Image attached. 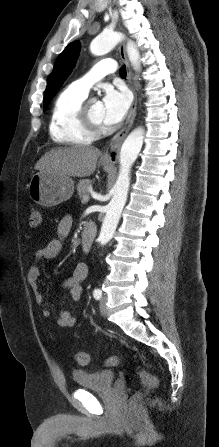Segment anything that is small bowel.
Listing matches in <instances>:
<instances>
[{
  "instance_id": "small-bowel-1",
  "label": "small bowel",
  "mask_w": 219,
  "mask_h": 447,
  "mask_svg": "<svg viewBox=\"0 0 219 447\" xmlns=\"http://www.w3.org/2000/svg\"><path fill=\"white\" fill-rule=\"evenodd\" d=\"M73 226V219L71 216L63 217L57 226V234L59 238L52 239L45 247L39 248L34 254L36 262L56 258L62 251L63 244L60 238L66 237ZM88 275V267L85 263H78L75 265L71 275L63 282V288L66 289L73 301H79L82 296V283ZM40 268L38 265L32 266L27 274V283L31 288L34 299L38 304L43 303V294L39 287ZM42 316L47 318L50 316L49 309H43ZM60 327H71L76 323V316L67 310L59 313L55 320Z\"/></svg>"
}]
</instances>
